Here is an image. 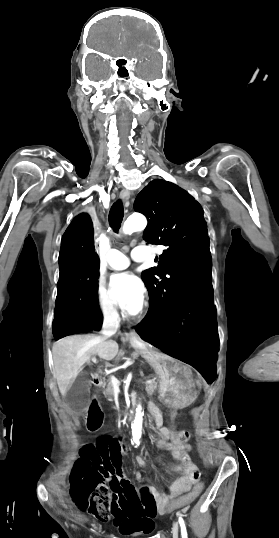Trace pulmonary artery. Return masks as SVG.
Returning a JSON list of instances; mask_svg holds the SVG:
<instances>
[{"label":"pulmonary artery","instance_id":"pulmonary-artery-1","mask_svg":"<svg viewBox=\"0 0 279 538\" xmlns=\"http://www.w3.org/2000/svg\"><path fill=\"white\" fill-rule=\"evenodd\" d=\"M134 261L140 262L143 259L140 257L132 258ZM105 265L111 270H122L130 265V256L117 249H111L105 260Z\"/></svg>","mask_w":279,"mask_h":538}]
</instances>
